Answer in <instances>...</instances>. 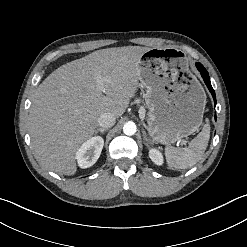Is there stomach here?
<instances>
[{"instance_id":"obj_1","label":"stomach","mask_w":247,"mask_h":247,"mask_svg":"<svg viewBox=\"0 0 247 247\" xmlns=\"http://www.w3.org/2000/svg\"><path fill=\"white\" fill-rule=\"evenodd\" d=\"M138 68L151 139L168 145L196 132L203 121L206 94L182 51L151 48L141 56Z\"/></svg>"}]
</instances>
